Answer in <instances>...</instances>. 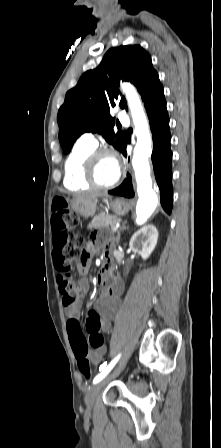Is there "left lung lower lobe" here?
I'll return each instance as SVG.
<instances>
[{
  "instance_id": "obj_1",
  "label": "left lung lower lobe",
  "mask_w": 221,
  "mask_h": 448,
  "mask_svg": "<svg viewBox=\"0 0 221 448\" xmlns=\"http://www.w3.org/2000/svg\"><path fill=\"white\" fill-rule=\"evenodd\" d=\"M144 106L147 111L152 131L153 153L151 159L153 162L155 178L160 189V202L163 209L168 214H171L173 205L171 182L172 152L170 150L171 135L163 87L157 88L149 93L144 99ZM126 146L127 143L125 141L120 150L124 156H127ZM109 194L132 198L134 196V191L131 176L127 174V178L123 183L118 188L110 190Z\"/></svg>"
}]
</instances>
